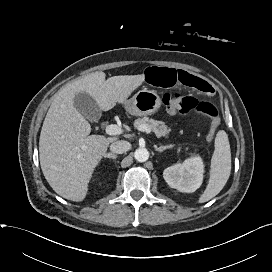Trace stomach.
Masks as SVG:
<instances>
[{
  "mask_svg": "<svg viewBox=\"0 0 272 272\" xmlns=\"http://www.w3.org/2000/svg\"><path fill=\"white\" fill-rule=\"evenodd\" d=\"M124 106L131 115H152L160 109L161 98L155 91L144 88L138 91L131 99L126 100Z\"/></svg>",
  "mask_w": 272,
  "mask_h": 272,
  "instance_id": "obj_1",
  "label": "stomach"
}]
</instances>
